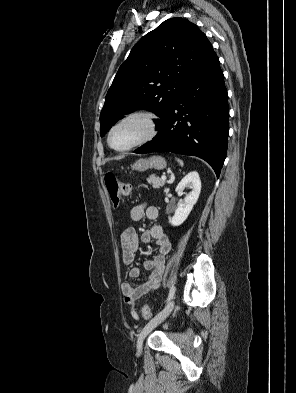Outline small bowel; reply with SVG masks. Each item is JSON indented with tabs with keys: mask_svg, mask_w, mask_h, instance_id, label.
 Listing matches in <instances>:
<instances>
[{
	"mask_svg": "<svg viewBox=\"0 0 296 393\" xmlns=\"http://www.w3.org/2000/svg\"><path fill=\"white\" fill-rule=\"evenodd\" d=\"M129 216L133 221H140L144 217L148 220H155L158 217V210L153 206L139 204L131 208ZM139 241L145 244L154 242L158 252L153 258L146 259L143 262V267L151 272L144 282L137 286L129 282L122 284L124 300L128 305L130 315L135 319H138L136 301L145 294L159 288L164 273L165 258L171 250V242L160 226H152L150 229L143 231L140 237L135 228L129 227L122 232L120 237L122 260L126 265L134 263ZM140 272V266H132L129 275L132 278H137Z\"/></svg>",
	"mask_w": 296,
	"mask_h": 393,
	"instance_id": "c3829d8e",
	"label": "small bowel"
}]
</instances>
